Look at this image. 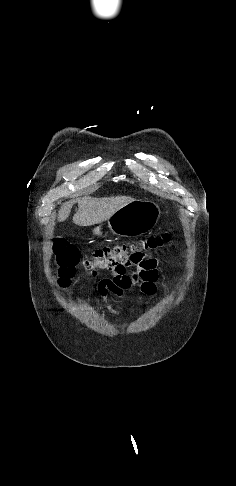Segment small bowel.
<instances>
[{"label": "small bowel", "mask_w": 236, "mask_h": 486, "mask_svg": "<svg viewBox=\"0 0 236 486\" xmlns=\"http://www.w3.org/2000/svg\"><path fill=\"white\" fill-rule=\"evenodd\" d=\"M158 280L157 260L141 257L114 270L111 278L100 280L97 287L98 303L112 314H119L120 311L108 301L110 295L124 298L128 289L138 286L145 295L152 297L157 292Z\"/></svg>", "instance_id": "small-bowel-1"}]
</instances>
